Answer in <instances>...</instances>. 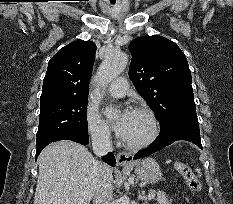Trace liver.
<instances>
[{
    "instance_id": "1",
    "label": "liver",
    "mask_w": 233,
    "mask_h": 204,
    "mask_svg": "<svg viewBox=\"0 0 233 204\" xmlns=\"http://www.w3.org/2000/svg\"><path fill=\"white\" fill-rule=\"evenodd\" d=\"M38 164L34 204H90L105 167L86 147L68 140L44 148Z\"/></svg>"
}]
</instances>
